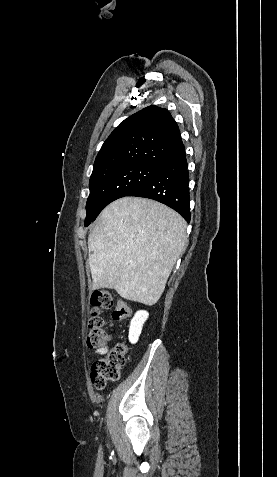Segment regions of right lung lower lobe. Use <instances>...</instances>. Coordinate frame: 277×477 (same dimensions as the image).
Returning a JSON list of instances; mask_svg holds the SVG:
<instances>
[{
	"label": "right lung lower lobe",
	"instance_id": "obj_1",
	"mask_svg": "<svg viewBox=\"0 0 277 477\" xmlns=\"http://www.w3.org/2000/svg\"><path fill=\"white\" fill-rule=\"evenodd\" d=\"M185 149L157 166L154 173L127 196L144 197L159 201L190 221L189 174Z\"/></svg>",
	"mask_w": 277,
	"mask_h": 477
}]
</instances>
